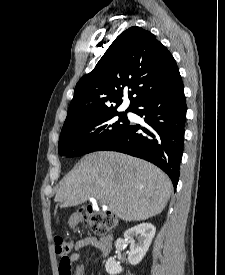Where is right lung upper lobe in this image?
Returning a JSON list of instances; mask_svg holds the SVG:
<instances>
[{
  "label": "right lung upper lobe",
  "instance_id": "obj_1",
  "mask_svg": "<svg viewBox=\"0 0 225 275\" xmlns=\"http://www.w3.org/2000/svg\"><path fill=\"white\" fill-rule=\"evenodd\" d=\"M180 81L179 69L168 49L151 32L131 27L113 41L94 70L76 84L64 126L116 110L127 89L130 110L143 98Z\"/></svg>",
  "mask_w": 225,
  "mask_h": 275
}]
</instances>
